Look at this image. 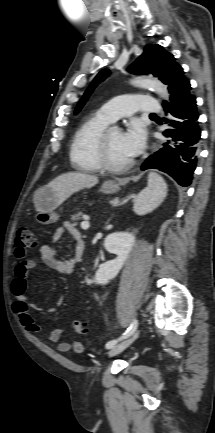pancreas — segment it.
<instances>
[{"mask_svg": "<svg viewBox=\"0 0 215 433\" xmlns=\"http://www.w3.org/2000/svg\"><path fill=\"white\" fill-rule=\"evenodd\" d=\"M82 215V213H77L75 215H72L70 220L74 222V225L78 224V221L80 220V216Z\"/></svg>", "mask_w": 215, "mask_h": 433, "instance_id": "obj_1", "label": "pancreas"}]
</instances>
